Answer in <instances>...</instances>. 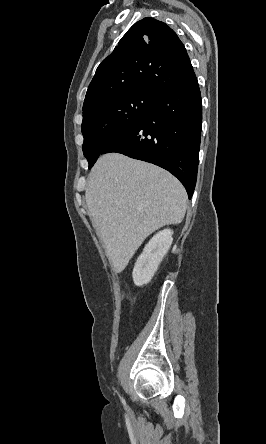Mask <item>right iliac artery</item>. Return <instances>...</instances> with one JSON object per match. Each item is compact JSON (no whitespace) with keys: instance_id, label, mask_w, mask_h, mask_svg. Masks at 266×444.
I'll list each match as a JSON object with an SVG mask.
<instances>
[{"instance_id":"right-iliac-artery-1","label":"right iliac artery","mask_w":266,"mask_h":444,"mask_svg":"<svg viewBox=\"0 0 266 444\" xmlns=\"http://www.w3.org/2000/svg\"><path fill=\"white\" fill-rule=\"evenodd\" d=\"M122 402L125 404V401H124V399L122 398Z\"/></svg>"}]
</instances>
